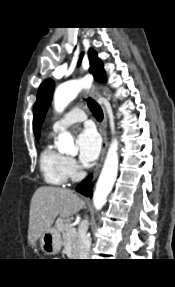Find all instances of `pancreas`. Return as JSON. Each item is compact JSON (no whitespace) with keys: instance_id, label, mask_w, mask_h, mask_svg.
Masks as SVG:
<instances>
[{"instance_id":"obj_1","label":"pancreas","mask_w":175,"mask_h":287,"mask_svg":"<svg viewBox=\"0 0 175 287\" xmlns=\"http://www.w3.org/2000/svg\"><path fill=\"white\" fill-rule=\"evenodd\" d=\"M55 228L62 234L64 244H66L68 241L71 242L72 254L73 256H76L79 250L78 234L75 232L74 234L68 235L67 232L71 229V227H69L68 224L61 218L56 220Z\"/></svg>"}]
</instances>
